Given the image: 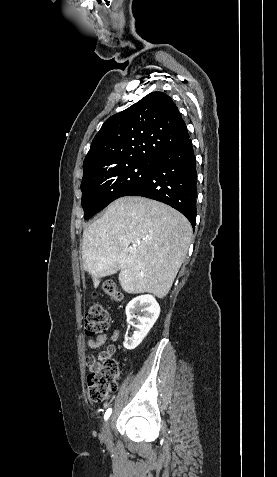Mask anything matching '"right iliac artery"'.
I'll list each match as a JSON object with an SVG mask.
<instances>
[{"instance_id": "1", "label": "right iliac artery", "mask_w": 277, "mask_h": 477, "mask_svg": "<svg viewBox=\"0 0 277 477\" xmlns=\"http://www.w3.org/2000/svg\"><path fill=\"white\" fill-rule=\"evenodd\" d=\"M111 412H112V409H111V408L107 409V411L105 412V415H104V419H105V420H107V419L110 417Z\"/></svg>"}]
</instances>
